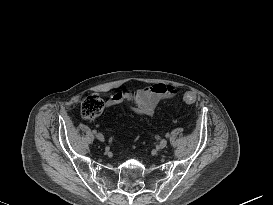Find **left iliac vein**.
Instances as JSON below:
<instances>
[{"label":"left iliac vein","mask_w":273,"mask_h":205,"mask_svg":"<svg viewBox=\"0 0 273 205\" xmlns=\"http://www.w3.org/2000/svg\"><path fill=\"white\" fill-rule=\"evenodd\" d=\"M167 145V140L166 139H162L160 142H159V148L163 149L165 148Z\"/></svg>","instance_id":"1"}]
</instances>
